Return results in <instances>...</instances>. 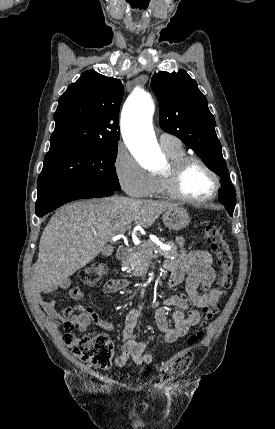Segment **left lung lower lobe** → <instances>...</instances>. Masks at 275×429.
I'll return each mask as SVG.
<instances>
[{
	"label": "left lung lower lobe",
	"instance_id": "left-lung-lower-lobe-1",
	"mask_svg": "<svg viewBox=\"0 0 275 429\" xmlns=\"http://www.w3.org/2000/svg\"><path fill=\"white\" fill-rule=\"evenodd\" d=\"M220 194H221L220 198L225 197L227 194L226 189L225 188L220 189Z\"/></svg>",
	"mask_w": 275,
	"mask_h": 429
}]
</instances>
